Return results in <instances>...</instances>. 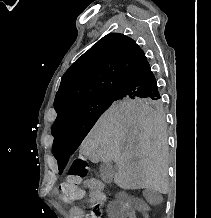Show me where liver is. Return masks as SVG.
<instances>
[{"label": "liver", "instance_id": "6515ba94", "mask_svg": "<svg viewBox=\"0 0 211 218\" xmlns=\"http://www.w3.org/2000/svg\"><path fill=\"white\" fill-rule=\"evenodd\" d=\"M167 136L154 110L112 104L80 146L83 156L114 160V182L123 190H168Z\"/></svg>", "mask_w": 211, "mask_h": 218}]
</instances>
